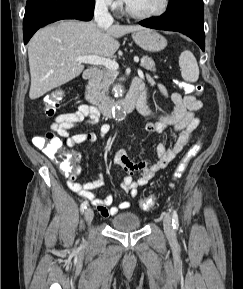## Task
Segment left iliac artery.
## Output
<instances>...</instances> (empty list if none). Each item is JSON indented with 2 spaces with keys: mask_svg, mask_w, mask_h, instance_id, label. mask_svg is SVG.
I'll return each instance as SVG.
<instances>
[{
  "mask_svg": "<svg viewBox=\"0 0 243 289\" xmlns=\"http://www.w3.org/2000/svg\"><path fill=\"white\" fill-rule=\"evenodd\" d=\"M172 225L174 229H178L179 227L178 214L176 210H173L172 212Z\"/></svg>",
  "mask_w": 243,
  "mask_h": 289,
  "instance_id": "1",
  "label": "left iliac artery"
}]
</instances>
